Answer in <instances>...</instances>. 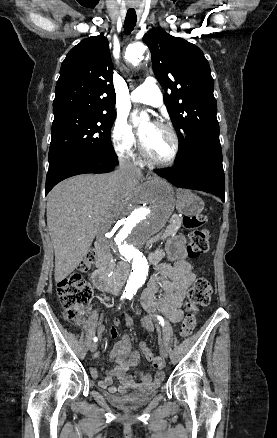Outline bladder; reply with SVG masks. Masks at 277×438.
Instances as JSON below:
<instances>
[{"label":"bladder","mask_w":277,"mask_h":438,"mask_svg":"<svg viewBox=\"0 0 277 438\" xmlns=\"http://www.w3.org/2000/svg\"><path fill=\"white\" fill-rule=\"evenodd\" d=\"M160 382L148 386L138 392L130 394L108 393L107 397L111 404L123 409H137L148 405L159 392Z\"/></svg>","instance_id":"bladder-1"}]
</instances>
